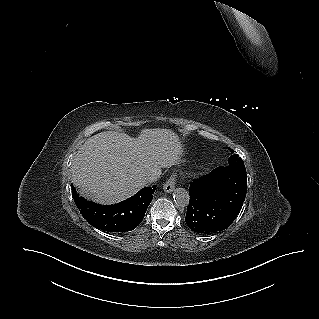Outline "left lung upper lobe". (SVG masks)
<instances>
[{
	"label": "left lung upper lobe",
	"mask_w": 319,
	"mask_h": 319,
	"mask_svg": "<svg viewBox=\"0 0 319 319\" xmlns=\"http://www.w3.org/2000/svg\"><path fill=\"white\" fill-rule=\"evenodd\" d=\"M229 150L231 152H233L232 149L229 148ZM228 163H229L230 166L245 167L244 166V162L242 161V159L237 154L231 155L229 157V159H228Z\"/></svg>",
	"instance_id": "left-lung-upper-lobe-1"
}]
</instances>
